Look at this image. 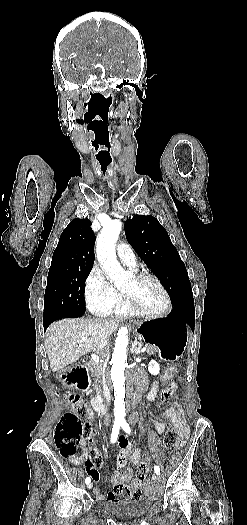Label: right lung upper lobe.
Wrapping results in <instances>:
<instances>
[{"mask_svg":"<svg viewBox=\"0 0 247 525\" xmlns=\"http://www.w3.org/2000/svg\"><path fill=\"white\" fill-rule=\"evenodd\" d=\"M88 218L74 219L62 232L49 271L92 269L95 236Z\"/></svg>","mask_w":247,"mask_h":525,"instance_id":"right-lung-upper-lobe-1","label":"right lung upper lobe"}]
</instances>
